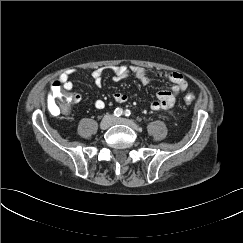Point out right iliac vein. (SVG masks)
<instances>
[{"label": "right iliac vein", "instance_id": "obj_1", "mask_svg": "<svg viewBox=\"0 0 243 243\" xmlns=\"http://www.w3.org/2000/svg\"><path fill=\"white\" fill-rule=\"evenodd\" d=\"M113 122V118L110 115L105 116L100 122V128L102 130L108 129Z\"/></svg>", "mask_w": 243, "mask_h": 243}]
</instances>
